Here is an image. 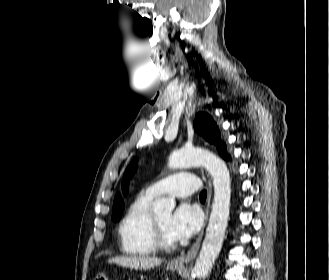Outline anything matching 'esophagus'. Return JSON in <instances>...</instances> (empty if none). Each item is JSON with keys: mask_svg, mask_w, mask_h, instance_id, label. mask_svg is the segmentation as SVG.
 <instances>
[{"mask_svg": "<svg viewBox=\"0 0 329 280\" xmlns=\"http://www.w3.org/2000/svg\"><path fill=\"white\" fill-rule=\"evenodd\" d=\"M210 197H211V179L209 178V195H208V206H207V211H206V220L208 217V208H209V203H210ZM204 227H205V224H204ZM204 227H203L202 231L200 232L199 236L197 237L195 243L191 247V249L186 254H182L179 257L173 259L171 261L172 264L183 265L184 263L192 261L196 257V255L199 251V248H200L202 238H203Z\"/></svg>", "mask_w": 329, "mask_h": 280, "instance_id": "esophagus-1", "label": "esophagus"}]
</instances>
